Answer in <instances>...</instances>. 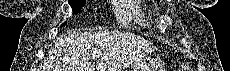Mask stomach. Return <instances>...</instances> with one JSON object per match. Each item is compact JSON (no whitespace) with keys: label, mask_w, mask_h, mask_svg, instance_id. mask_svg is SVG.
<instances>
[{"label":"stomach","mask_w":230,"mask_h":71,"mask_svg":"<svg viewBox=\"0 0 230 71\" xmlns=\"http://www.w3.org/2000/svg\"><path fill=\"white\" fill-rule=\"evenodd\" d=\"M156 69H159L158 66H156L155 62L151 61H144L137 65H134L132 70H125V71H157Z\"/></svg>","instance_id":"0dacf381"}]
</instances>
